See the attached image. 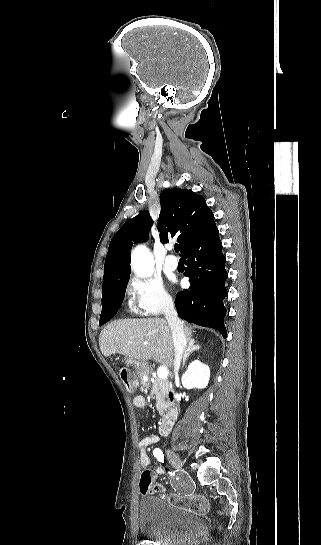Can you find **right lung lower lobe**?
<instances>
[{"mask_svg": "<svg viewBox=\"0 0 321 545\" xmlns=\"http://www.w3.org/2000/svg\"><path fill=\"white\" fill-rule=\"evenodd\" d=\"M183 257L188 266L184 275L189 277L191 286L176 296L175 306L179 316L188 322L215 328L226 338L223 319L227 310L223 300L228 295L225 287L228 273L216 224L192 243ZM123 298L124 294L108 298L104 307L106 322L117 313Z\"/></svg>", "mask_w": 321, "mask_h": 545, "instance_id": "right-lung-lower-lobe-1", "label": "right lung lower lobe"}]
</instances>
